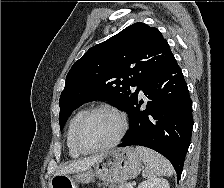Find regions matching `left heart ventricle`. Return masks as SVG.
Returning <instances> with one entry per match:
<instances>
[{"label":"left heart ventricle","instance_id":"b2bd125f","mask_svg":"<svg viewBox=\"0 0 224 188\" xmlns=\"http://www.w3.org/2000/svg\"><path fill=\"white\" fill-rule=\"evenodd\" d=\"M120 130L118 118L108 112H96L83 124L80 131L82 144L89 148L111 142Z\"/></svg>","mask_w":224,"mask_h":188}]
</instances>
